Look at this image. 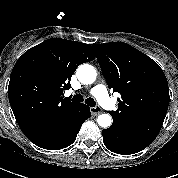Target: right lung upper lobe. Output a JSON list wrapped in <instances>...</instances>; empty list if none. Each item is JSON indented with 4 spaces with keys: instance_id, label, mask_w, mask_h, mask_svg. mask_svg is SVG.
<instances>
[{
    "instance_id": "right-lung-upper-lobe-1",
    "label": "right lung upper lobe",
    "mask_w": 178,
    "mask_h": 178,
    "mask_svg": "<svg viewBox=\"0 0 178 178\" xmlns=\"http://www.w3.org/2000/svg\"><path fill=\"white\" fill-rule=\"evenodd\" d=\"M95 58L89 44L52 38L26 51L16 62L8 86L9 102L22 132L31 141L67 130L82 103L63 98L77 67Z\"/></svg>"
}]
</instances>
